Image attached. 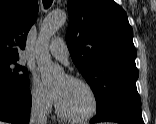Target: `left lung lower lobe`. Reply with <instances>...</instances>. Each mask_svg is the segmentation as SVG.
Here are the masks:
<instances>
[{
	"label": "left lung lower lobe",
	"mask_w": 156,
	"mask_h": 124,
	"mask_svg": "<svg viewBox=\"0 0 156 124\" xmlns=\"http://www.w3.org/2000/svg\"><path fill=\"white\" fill-rule=\"evenodd\" d=\"M105 121L122 124H144L141 110H136L127 106H112L101 113L96 114L90 123Z\"/></svg>",
	"instance_id": "obj_1"
}]
</instances>
